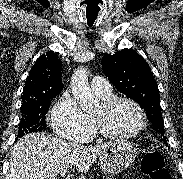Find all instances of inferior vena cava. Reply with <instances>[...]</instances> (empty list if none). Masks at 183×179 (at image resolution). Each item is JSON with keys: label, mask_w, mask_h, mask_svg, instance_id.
Segmentation results:
<instances>
[{"label": "inferior vena cava", "mask_w": 183, "mask_h": 179, "mask_svg": "<svg viewBox=\"0 0 183 179\" xmlns=\"http://www.w3.org/2000/svg\"><path fill=\"white\" fill-rule=\"evenodd\" d=\"M72 147H78L79 145L76 143V142H71V143H69Z\"/></svg>", "instance_id": "inferior-vena-cava-1"}]
</instances>
